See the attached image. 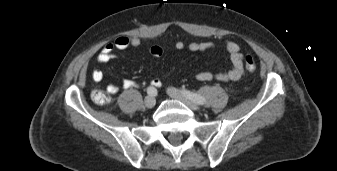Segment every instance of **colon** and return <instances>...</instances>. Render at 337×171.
<instances>
[{"label": "colon", "mask_w": 337, "mask_h": 171, "mask_svg": "<svg viewBox=\"0 0 337 171\" xmlns=\"http://www.w3.org/2000/svg\"><path fill=\"white\" fill-rule=\"evenodd\" d=\"M246 70L252 72L256 69V62L252 56H247L244 61ZM92 99L99 105L107 104L110 101V97L104 91H94L92 93Z\"/></svg>", "instance_id": "obj_1"}]
</instances>
